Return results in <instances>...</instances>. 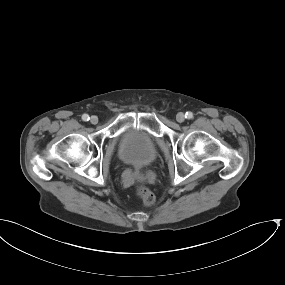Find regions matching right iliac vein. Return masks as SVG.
I'll list each match as a JSON object with an SVG mask.
<instances>
[{"label":"right iliac vein","instance_id":"right-iliac-vein-1","mask_svg":"<svg viewBox=\"0 0 285 285\" xmlns=\"http://www.w3.org/2000/svg\"><path fill=\"white\" fill-rule=\"evenodd\" d=\"M90 122H91L92 124H97V123H98V117H97V116H91Z\"/></svg>","mask_w":285,"mask_h":285}]
</instances>
